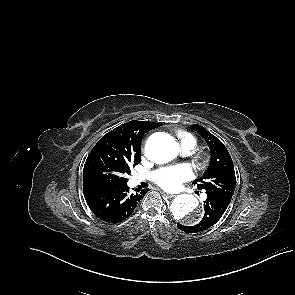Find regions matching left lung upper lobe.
Masks as SVG:
<instances>
[{
	"mask_svg": "<svg viewBox=\"0 0 295 295\" xmlns=\"http://www.w3.org/2000/svg\"><path fill=\"white\" fill-rule=\"evenodd\" d=\"M196 129L207 142L211 151V161L203 177L194 181L198 189H205L207 195L232 198L236 178L232 158L225 145L203 126Z\"/></svg>",
	"mask_w": 295,
	"mask_h": 295,
	"instance_id": "left-lung-upper-lobe-1",
	"label": "left lung upper lobe"
}]
</instances>
